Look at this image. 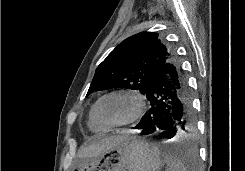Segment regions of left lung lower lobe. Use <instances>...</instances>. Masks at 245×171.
<instances>
[{
	"label": "left lung lower lobe",
	"instance_id": "1",
	"mask_svg": "<svg viewBox=\"0 0 245 171\" xmlns=\"http://www.w3.org/2000/svg\"><path fill=\"white\" fill-rule=\"evenodd\" d=\"M145 95L151 107L135 126L142 135L160 129L163 138L171 139L191 129L193 110L188 80L173 57L152 81ZM193 156L191 151L182 153L185 162H196L197 158Z\"/></svg>",
	"mask_w": 245,
	"mask_h": 171
}]
</instances>
